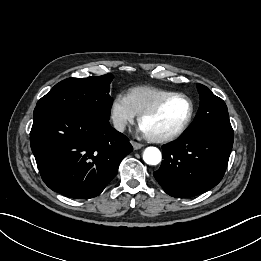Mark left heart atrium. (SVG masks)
<instances>
[{"mask_svg":"<svg viewBox=\"0 0 261 261\" xmlns=\"http://www.w3.org/2000/svg\"><path fill=\"white\" fill-rule=\"evenodd\" d=\"M141 130H142V132L146 133L142 127H141Z\"/></svg>","mask_w":261,"mask_h":261,"instance_id":"obj_1","label":"left heart atrium"}]
</instances>
